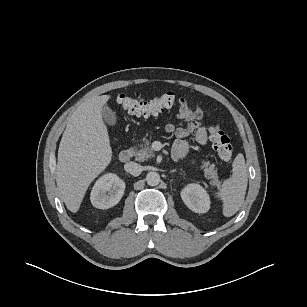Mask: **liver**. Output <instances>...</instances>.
I'll return each instance as SVG.
<instances>
[{
    "mask_svg": "<svg viewBox=\"0 0 307 307\" xmlns=\"http://www.w3.org/2000/svg\"><path fill=\"white\" fill-rule=\"evenodd\" d=\"M110 95L92 97L72 114L63 133L56 167L59 194L68 210L76 213L90 183L112 159L102 109Z\"/></svg>",
    "mask_w": 307,
    "mask_h": 307,
    "instance_id": "6515ba94",
    "label": "liver"
}]
</instances>
